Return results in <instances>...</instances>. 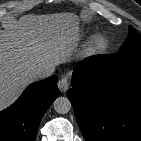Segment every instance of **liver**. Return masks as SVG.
Returning a JSON list of instances; mask_svg holds the SVG:
<instances>
[{
  "instance_id": "obj_1",
  "label": "liver",
  "mask_w": 141,
  "mask_h": 141,
  "mask_svg": "<svg viewBox=\"0 0 141 141\" xmlns=\"http://www.w3.org/2000/svg\"><path fill=\"white\" fill-rule=\"evenodd\" d=\"M79 41L73 13L28 14L7 23L0 30V111L37 79V68L68 62Z\"/></svg>"
}]
</instances>
